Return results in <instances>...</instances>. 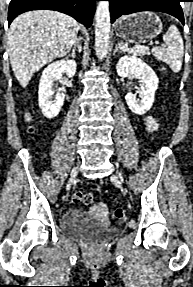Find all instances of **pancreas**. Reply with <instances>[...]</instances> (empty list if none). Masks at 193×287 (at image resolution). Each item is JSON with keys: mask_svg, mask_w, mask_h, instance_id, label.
Listing matches in <instances>:
<instances>
[{"mask_svg": "<svg viewBox=\"0 0 193 287\" xmlns=\"http://www.w3.org/2000/svg\"><path fill=\"white\" fill-rule=\"evenodd\" d=\"M133 54L137 55V56H144V55H148L149 51L147 49H140V50H136L134 52H132Z\"/></svg>", "mask_w": 193, "mask_h": 287, "instance_id": "obj_1", "label": "pancreas"}]
</instances>
